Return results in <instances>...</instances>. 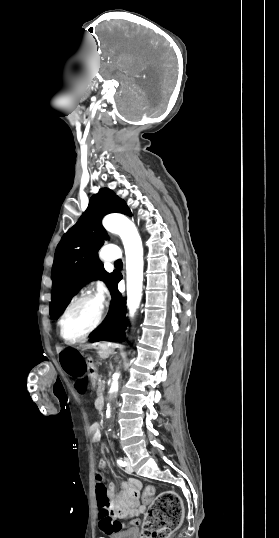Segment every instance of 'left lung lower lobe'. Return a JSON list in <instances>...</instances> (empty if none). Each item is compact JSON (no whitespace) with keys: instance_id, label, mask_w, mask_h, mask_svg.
<instances>
[{"instance_id":"left-lung-lower-lobe-1","label":"left lung lower lobe","mask_w":279,"mask_h":538,"mask_svg":"<svg viewBox=\"0 0 279 538\" xmlns=\"http://www.w3.org/2000/svg\"><path fill=\"white\" fill-rule=\"evenodd\" d=\"M120 279L117 277L116 283L112 290L114 310L106 319L101 327L90 334V341L113 340L117 341L125 338V329L127 326L125 299L118 292L117 283Z\"/></svg>"}]
</instances>
